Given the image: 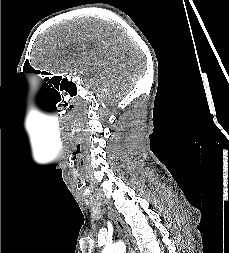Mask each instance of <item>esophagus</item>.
Listing matches in <instances>:
<instances>
[{"label":"esophagus","mask_w":229,"mask_h":253,"mask_svg":"<svg viewBox=\"0 0 229 253\" xmlns=\"http://www.w3.org/2000/svg\"><path fill=\"white\" fill-rule=\"evenodd\" d=\"M108 212L110 217L113 219L117 226L118 231L124 237L130 253H136L135 242L130 234L128 226L125 224L123 219L110 207L108 206Z\"/></svg>","instance_id":"esophagus-1"}]
</instances>
